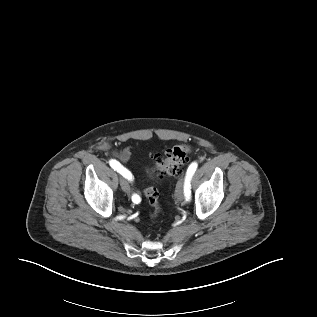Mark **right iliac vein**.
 I'll use <instances>...</instances> for the list:
<instances>
[{"label":"right iliac vein","instance_id":"1","mask_svg":"<svg viewBox=\"0 0 317 317\" xmlns=\"http://www.w3.org/2000/svg\"><path fill=\"white\" fill-rule=\"evenodd\" d=\"M120 185H121V188L124 192L130 193V186H129L128 182L122 177H120Z\"/></svg>","mask_w":317,"mask_h":317}]
</instances>
